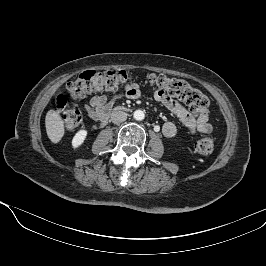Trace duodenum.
<instances>
[{"mask_svg": "<svg viewBox=\"0 0 266 266\" xmlns=\"http://www.w3.org/2000/svg\"><path fill=\"white\" fill-rule=\"evenodd\" d=\"M121 110H124V108L122 107H116L114 108L113 110L109 109L108 112L106 113V115L104 116L102 122H101V125H105L111 115V112H114V111H121Z\"/></svg>", "mask_w": 266, "mask_h": 266, "instance_id": "obj_1", "label": "duodenum"}]
</instances>
